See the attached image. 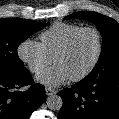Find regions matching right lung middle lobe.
<instances>
[{
	"instance_id": "right-lung-middle-lobe-1",
	"label": "right lung middle lobe",
	"mask_w": 119,
	"mask_h": 119,
	"mask_svg": "<svg viewBox=\"0 0 119 119\" xmlns=\"http://www.w3.org/2000/svg\"><path fill=\"white\" fill-rule=\"evenodd\" d=\"M47 25L20 18L0 19V73L20 72L25 68L17 54L18 46Z\"/></svg>"
}]
</instances>
